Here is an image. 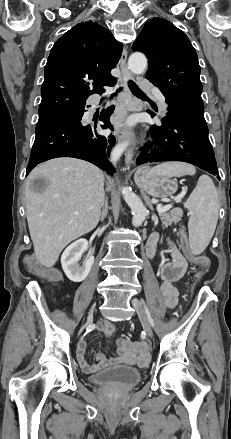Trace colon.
Masks as SVG:
<instances>
[{
  "instance_id": "5ec220e1",
  "label": "colon",
  "mask_w": 231,
  "mask_h": 439,
  "mask_svg": "<svg viewBox=\"0 0 231 439\" xmlns=\"http://www.w3.org/2000/svg\"><path fill=\"white\" fill-rule=\"evenodd\" d=\"M180 240H181L182 248H183L184 252L186 253L188 259L190 261H192L193 263H195L196 265H198L201 270H203V271L206 270L209 267L208 257H206L204 255H194L191 253V251L189 249L188 242H187L186 234L184 233V231H181V233H180ZM26 264H27V267L29 268V270H31L32 272H34L36 274L45 275V276H48L51 278L58 277V273L56 271H54V270L46 271L35 261L34 258H29L27 260Z\"/></svg>"
}]
</instances>
